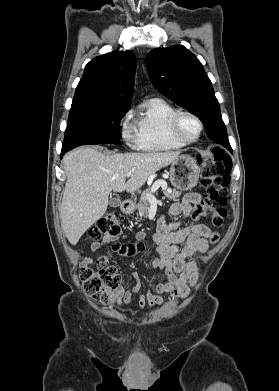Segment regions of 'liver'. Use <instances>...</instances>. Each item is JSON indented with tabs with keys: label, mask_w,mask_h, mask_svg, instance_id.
I'll return each instance as SVG.
<instances>
[{
	"label": "liver",
	"mask_w": 279,
	"mask_h": 391,
	"mask_svg": "<svg viewBox=\"0 0 279 391\" xmlns=\"http://www.w3.org/2000/svg\"><path fill=\"white\" fill-rule=\"evenodd\" d=\"M179 152L102 153L94 148H78L64 157L67 176L60 218L72 245L106 212L109 193L134 192L149 176L170 165ZM132 172L130 179L126 176Z\"/></svg>",
	"instance_id": "1"
}]
</instances>
